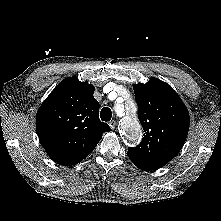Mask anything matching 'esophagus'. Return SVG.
Here are the masks:
<instances>
[{
  "label": "esophagus",
  "instance_id": "1",
  "mask_svg": "<svg viewBox=\"0 0 221 221\" xmlns=\"http://www.w3.org/2000/svg\"><path fill=\"white\" fill-rule=\"evenodd\" d=\"M109 126H110V128H111L112 130H114L115 127H116V122H115L114 120L110 121V122H109Z\"/></svg>",
  "mask_w": 221,
  "mask_h": 221
}]
</instances>
